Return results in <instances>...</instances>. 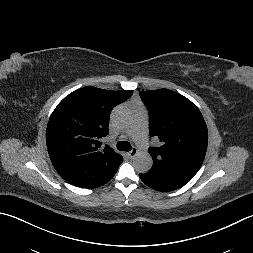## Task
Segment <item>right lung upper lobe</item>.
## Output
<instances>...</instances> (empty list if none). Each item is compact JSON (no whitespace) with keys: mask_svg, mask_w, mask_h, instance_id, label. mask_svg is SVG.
<instances>
[{"mask_svg":"<svg viewBox=\"0 0 253 253\" xmlns=\"http://www.w3.org/2000/svg\"><path fill=\"white\" fill-rule=\"evenodd\" d=\"M133 91L84 87L66 96L52 113L46 131L52 164L68 183L99 187L118 167L122 156L100 139L108 134L111 109Z\"/></svg>","mask_w":253,"mask_h":253,"instance_id":"cb5924a9","label":"right lung upper lobe"}]
</instances>
